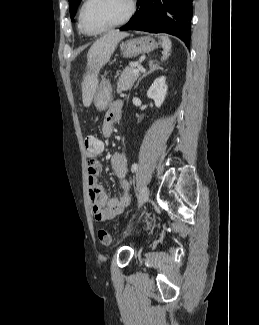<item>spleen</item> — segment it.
<instances>
[{
    "mask_svg": "<svg viewBox=\"0 0 259 325\" xmlns=\"http://www.w3.org/2000/svg\"><path fill=\"white\" fill-rule=\"evenodd\" d=\"M171 47H172L171 40L168 37L163 36L162 37V48H163L162 60H166L169 57L171 52Z\"/></svg>",
    "mask_w": 259,
    "mask_h": 325,
    "instance_id": "1",
    "label": "spleen"
}]
</instances>
